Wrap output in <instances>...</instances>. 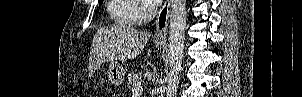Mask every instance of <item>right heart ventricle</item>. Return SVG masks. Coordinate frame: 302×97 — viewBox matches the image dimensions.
<instances>
[{"label": "right heart ventricle", "mask_w": 302, "mask_h": 97, "mask_svg": "<svg viewBox=\"0 0 302 97\" xmlns=\"http://www.w3.org/2000/svg\"><path fill=\"white\" fill-rule=\"evenodd\" d=\"M138 2L136 0H110L108 14L111 20L122 26L137 25Z\"/></svg>", "instance_id": "e07e8e85"}]
</instances>
